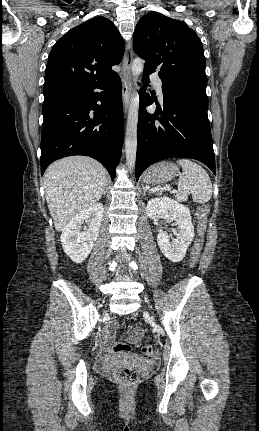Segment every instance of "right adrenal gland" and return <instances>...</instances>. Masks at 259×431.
Here are the masks:
<instances>
[{
	"instance_id": "right-adrenal-gland-1",
	"label": "right adrenal gland",
	"mask_w": 259,
	"mask_h": 431,
	"mask_svg": "<svg viewBox=\"0 0 259 431\" xmlns=\"http://www.w3.org/2000/svg\"><path fill=\"white\" fill-rule=\"evenodd\" d=\"M107 191H108V186H106V188L104 190V194H106Z\"/></svg>"
}]
</instances>
